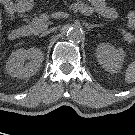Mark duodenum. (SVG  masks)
<instances>
[{
	"instance_id": "obj_1",
	"label": "duodenum",
	"mask_w": 135,
	"mask_h": 135,
	"mask_svg": "<svg viewBox=\"0 0 135 135\" xmlns=\"http://www.w3.org/2000/svg\"><path fill=\"white\" fill-rule=\"evenodd\" d=\"M28 32V29H15L12 31V38L17 39L25 36Z\"/></svg>"
}]
</instances>
